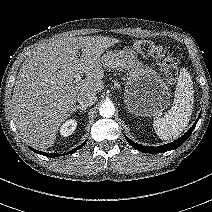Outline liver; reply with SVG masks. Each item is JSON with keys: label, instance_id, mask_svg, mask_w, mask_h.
Instances as JSON below:
<instances>
[{"label": "liver", "instance_id": "obj_1", "mask_svg": "<svg viewBox=\"0 0 212 212\" xmlns=\"http://www.w3.org/2000/svg\"><path fill=\"white\" fill-rule=\"evenodd\" d=\"M118 42L107 36L57 37L27 56L17 75L11 106L16 127L30 145L39 149L53 146L78 95L103 90L101 55ZM81 74L85 79L75 83Z\"/></svg>", "mask_w": 212, "mask_h": 212}]
</instances>
